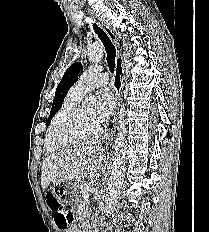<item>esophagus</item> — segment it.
Returning <instances> with one entry per match:
<instances>
[{
	"label": "esophagus",
	"mask_w": 209,
	"mask_h": 232,
	"mask_svg": "<svg viewBox=\"0 0 209 232\" xmlns=\"http://www.w3.org/2000/svg\"><path fill=\"white\" fill-rule=\"evenodd\" d=\"M88 13H89L90 17L94 20V22H96V24L106 32V34L109 36L111 41L113 43H115V45H117L118 44L117 39H116L114 33L112 32V30H110V28L94 12L88 11ZM123 73H124V66H123L122 56L118 51L117 58H116L114 83L119 91V95H120V93L123 89V85H124ZM111 135H112V129L106 133L105 138L109 139L111 137Z\"/></svg>",
	"instance_id": "1"
}]
</instances>
